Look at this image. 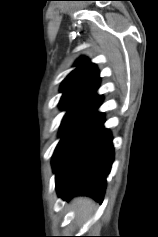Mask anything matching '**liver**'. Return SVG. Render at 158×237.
<instances>
[{
  "label": "liver",
  "mask_w": 158,
  "mask_h": 237,
  "mask_svg": "<svg viewBox=\"0 0 158 237\" xmlns=\"http://www.w3.org/2000/svg\"><path fill=\"white\" fill-rule=\"evenodd\" d=\"M72 205L76 209L78 218L86 220L91 214L94 203L89 198L78 197L73 200Z\"/></svg>",
  "instance_id": "obj_1"
}]
</instances>
